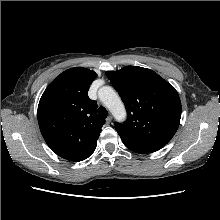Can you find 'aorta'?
I'll return each mask as SVG.
<instances>
[{
	"label": "aorta",
	"instance_id": "762f6f07",
	"mask_svg": "<svg viewBox=\"0 0 220 220\" xmlns=\"http://www.w3.org/2000/svg\"><path fill=\"white\" fill-rule=\"evenodd\" d=\"M98 96L102 103L110 110L116 120L123 121L126 118L124 104L112 87H101L98 91Z\"/></svg>",
	"mask_w": 220,
	"mask_h": 220
}]
</instances>
